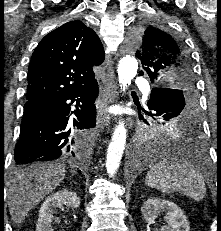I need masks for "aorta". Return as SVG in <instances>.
I'll return each mask as SVG.
<instances>
[{"mask_svg":"<svg viewBox=\"0 0 221 231\" xmlns=\"http://www.w3.org/2000/svg\"><path fill=\"white\" fill-rule=\"evenodd\" d=\"M138 70L137 60L130 55L124 56L118 64L119 84L123 91L131 84ZM127 131L123 121L115 127L110 144L107 149L106 169L110 176H114L119 168L125 149ZM147 162L146 160H141Z\"/></svg>","mask_w":221,"mask_h":231,"instance_id":"1","label":"aorta"}]
</instances>
